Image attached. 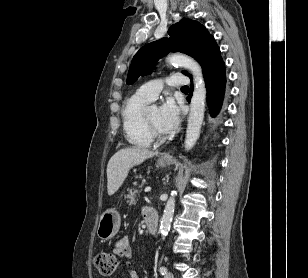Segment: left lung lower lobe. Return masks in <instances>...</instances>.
Masks as SVG:
<instances>
[{"instance_id":"0a47b994","label":"left lung lower lobe","mask_w":308,"mask_h":278,"mask_svg":"<svg viewBox=\"0 0 308 278\" xmlns=\"http://www.w3.org/2000/svg\"><path fill=\"white\" fill-rule=\"evenodd\" d=\"M205 85L207 89V103L212 117L216 116L221 108L226 85L225 63L222 62L210 72L204 74ZM193 87L188 96L190 100Z\"/></svg>"}]
</instances>
